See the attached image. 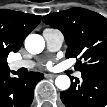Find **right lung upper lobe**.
Masks as SVG:
<instances>
[{
  "label": "right lung upper lobe",
  "mask_w": 107,
  "mask_h": 107,
  "mask_svg": "<svg viewBox=\"0 0 107 107\" xmlns=\"http://www.w3.org/2000/svg\"><path fill=\"white\" fill-rule=\"evenodd\" d=\"M40 21L41 16L0 10V71L8 69V54L20 49L24 39Z\"/></svg>",
  "instance_id": "right-lung-upper-lobe-1"
}]
</instances>
